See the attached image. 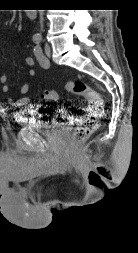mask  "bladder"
Instances as JSON below:
<instances>
[{
	"label": "bladder",
	"mask_w": 138,
	"mask_h": 253,
	"mask_svg": "<svg viewBox=\"0 0 138 253\" xmlns=\"http://www.w3.org/2000/svg\"><path fill=\"white\" fill-rule=\"evenodd\" d=\"M44 107L32 106L30 109L19 112V123L23 127L38 133H50L62 125L49 119V113Z\"/></svg>",
	"instance_id": "bladder-1"
}]
</instances>
